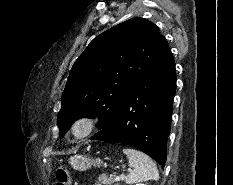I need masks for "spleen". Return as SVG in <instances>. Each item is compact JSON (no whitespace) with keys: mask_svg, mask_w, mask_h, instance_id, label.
Returning <instances> with one entry per match:
<instances>
[{"mask_svg":"<svg viewBox=\"0 0 233 185\" xmlns=\"http://www.w3.org/2000/svg\"><path fill=\"white\" fill-rule=\"evenodd\" d=\"M123 153L127 155L131 168L130 173L125 177L126 184L159 179L156 164L149 156L131 148H124Z\"/></svg>","mask_w":233,"mask_h":185,"instance_id":"spleen-1","label":"spleen"}]
</instances>
